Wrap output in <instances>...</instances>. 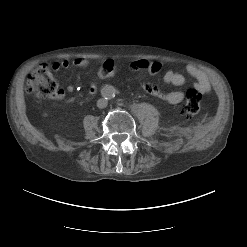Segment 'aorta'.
Returning <instances> with one entry per match:
<instances>
[{"mask_svg":"<svg viewBox=\"0 0 247 247\" xmlns=\"http://www.w3.org/2000/svg\"><path fill=\"white\" fill-rule=\"evenodd\" d=\"M116 94V89L111 86V85H106L103 88V95L107 98V99H112L115 97Z\"/></svg>","mask_w":247,"mask_h":247,"instance_id":"762f6f07","label":"aorta"}]
</instances>
